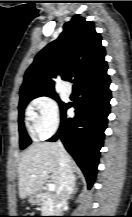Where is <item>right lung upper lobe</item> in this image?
Here are the masks:
<instances>
[{
    "label": "right lung upper lobe",
    "instance_id": "1",
    "mask_svg": "<svg viewBox=\"0 0 132 217\" xmlns=\"http://www.w3.org/2000/svg\"><path fill=\"white\" fill-rule=\"evenodd\" d=\"M105 49L94 24L82 16H74L65 23L59 38L37 54L27 69L20 88L24 97L56 94L53 78L77 83V87L99 82L107 77Z\"/></svg>",
    "mask_w": 132,
    "mask_h": 217
}]
</instances>
